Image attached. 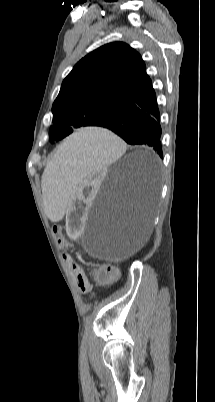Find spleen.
I'll return each instance as SVG.
<instances>
[{
    "label": "spleen",
    "mask_w": 215,
    "mask_h": 402,
    "mask_svg": "<svg viewBox=\"0 0 215 402\" xmlns=\"http://www.w3.org/2000/svg\"><path fill=\"white\" fill-rule=\"evenodd\" d=\"M124 150L122 141L111 134L110 128H76L54 155L47 167L42 184L46 190L45 208L49 220H60L70 198L67 193L84 178L115 161Z\"/></svg>",
    "instance_id": "3e777b00"
}]
</instances>
